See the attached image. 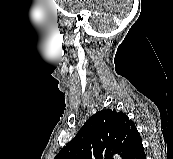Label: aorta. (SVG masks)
I'll return each mask as SVG.
<instances>
[{
  "label": "aorta",
  "instance_id": "762f6f07",
  "mask_svg": "<svg viewBox=\"0 0 173 159\" xmlns=\"http://www.w3.org/2000/svg\"><path fill=\"white\" fill-rule=\"evenodd\" d=\"M115 159H121L120 157H117V155L115 156Z\"/></svg>",
  "mask_w": 173,
  "mask_h": 159
}]
</instances>
